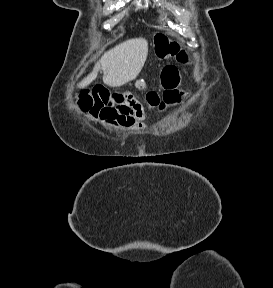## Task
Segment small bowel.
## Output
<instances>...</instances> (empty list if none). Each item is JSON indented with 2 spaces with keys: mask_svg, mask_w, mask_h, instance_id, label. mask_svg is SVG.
<instances>
[{
  "mask_svg": "<svg viewBox=\"0 0 273 288\" xmlns=\"http://www.w3.org/2000/svg\"><path fill=\"white\" fill-rule=\"evenodd\" d=\"M145 114L143 112V110L141 109V107H138V116H137V123L135 124V128L136 129H143L145 128Z\"/></svg>",
  "mask_w": 273,
  "mask_h": 288,
  "instance_id": "c3829d8e",
  "label": "small bowel"
}]
</instances>
